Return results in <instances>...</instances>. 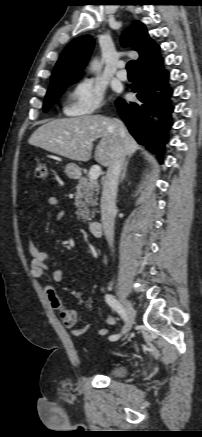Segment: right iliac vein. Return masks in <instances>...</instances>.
Masks as SVG:
<instances>
[{
    "instance_id": "1",
    "label": "right iliac vein",
    "mask_w": 202,
    "mask_h": 437,
    "mask_svg": "<svg viewBox=\"0 0 202 437\" xmlns=\"http://www.w3.org/2000/svg\"><path fill=\"white\" fill-rule=\"evenodd\" d=\"M120 296V299L125 307V312H126V320H125V324L122 328V335L126 334L132 327L133 323H134V318H135V311L134 308L131 304L130 301H128L123 295H121V293H118Z\"/></svg>"
}]
</instances>
